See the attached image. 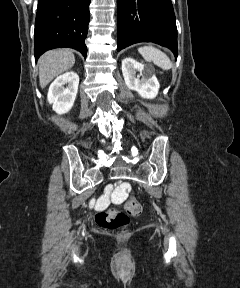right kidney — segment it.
I'll list each match as a JSON object with an SVG mask.
<instances>
[{"label":"right kidney","instance_id":"right-kidney-1","mask_svg":"<svg viewBox=\"0 0 240 288\" xmlns=\"http://www.w3.org/2000/svg\"><path fill=\"white\" fill-rule=\"evenodd\" d=\"M78 85L79 76L73 71L60 75L50 85L47 100L53 104V110L56 113L64 114L72 108L78 92Z\"/></svg>","mask_w":240,"mask_h":288}]
</instances>
